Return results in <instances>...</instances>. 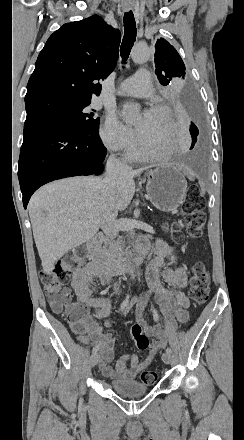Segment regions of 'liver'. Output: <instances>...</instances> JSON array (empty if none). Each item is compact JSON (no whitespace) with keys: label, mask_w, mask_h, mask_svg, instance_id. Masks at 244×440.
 I'll return each instance as SVG.
<instances>
[{"label":"liver","mask_w":244,"mask_h":440,"mask_svg":"<svg viewBox=\"0 0 244 440\" xmlns=\"http://www.w3.org/2000/svg\"><path fill=\"white\" fill-rule=\"evenodd\" d=\"M144 170L148 168L120 174L115 188L103 186L102 178L76 176L46 184L33 194L28 212L45 274L68 250L94 238L111 200L119 212L126 210L135 194L134 178Z\"/></svg>","instance_id":"6515ba94"}]
</instances>
